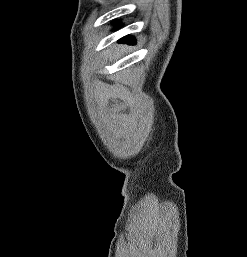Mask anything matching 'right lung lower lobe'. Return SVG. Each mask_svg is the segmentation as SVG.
<instances>
[{"label":"right lung lower lobe","instance_id":"98d812e1","mask_svg":"<svg viewBox=\"0 0 247 257\" xmlns=\"http://www.w3.org/2000/svg\"><path fill=\"white\" fill-rule=\"evenodd\" d=\"M120 42L121 43H128V44H134L135 43V39L132 37V36H126V37H124V38H122L121 40H120Z\"/></svg>","mask_w":247,"mask_h":257}]
</instances>
